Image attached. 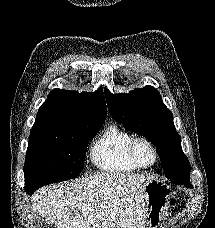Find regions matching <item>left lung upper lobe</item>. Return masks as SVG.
<instances>
[{"mask_svg": "<svg viewBox=\"0 0 215 228\" xmlns=\"http://www.w3.org/2000/svg\"><path fill=\"white\" fill-rule=\"evenodd\" d=\"M109 112L117 122L156 146L171 181L188 180L191 166L181 148L173 115L163 104L160 93L151 86L135 89L128 94H112L105 88Z\"/></svg>", "mask_w": 215, "mask_h": 228, "instance_id": "1", "label": "left lung upper lobe"}]
</instances>
